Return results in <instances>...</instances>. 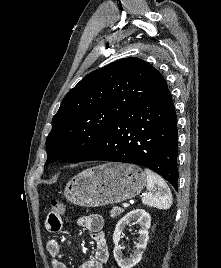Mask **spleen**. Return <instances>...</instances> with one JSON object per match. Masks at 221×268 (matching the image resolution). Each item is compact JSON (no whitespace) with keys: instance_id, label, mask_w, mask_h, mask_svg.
I'll use <instances>...</instances> for the list:
<instances>
[{"instance_id":"spleen-1","label":"spleen","mask_w":221,"mask_h":268,"mask_svg":"<svg viewBox=\"0 0 221 268\" xmlns=\"http://www.w3.org/2000/svg\"><path fill=\"white\" fill-rule=\"evenodd\" d=\"M148 192L142 198L144 205L158 209H169L172 205V194L164 179L148 168L144 169Z\"/></svg>"}]
</instances>
